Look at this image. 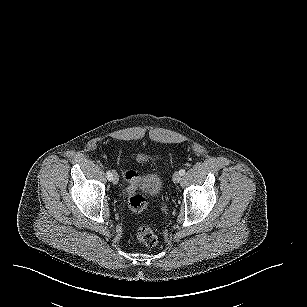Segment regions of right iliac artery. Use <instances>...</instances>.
Listing matches in <instances>:
<instances>
[{"label": "right iliac artery", "instance_id": "right-iliac-artery-1", "mask_svg": "<svg viewBox=\"0 0 307 307\" xmlns=\"http://www.w3.org/2000/svg\"><path fill=\"white\" fill-rule=\"evenodd\" d=\"M106 175L108 180H112V173L110 171H107Z\"/></svg>", "mask_w": 307, "mask_h": 307}]
</instances>
